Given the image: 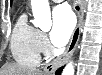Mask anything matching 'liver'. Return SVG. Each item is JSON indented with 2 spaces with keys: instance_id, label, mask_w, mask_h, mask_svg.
<instances>
[{
  "instance_id": "obj_1",
  "label": "liver",
  "mask_w": 102,
  "mask_h": 75,
  "mask_svg": "<svg viewBox=\"0 0 102 75\" xmlns=\"http://www.w3.org/2000/svg\"><path fill=\"white\" fill-rule=\"evenodd\" d=\"M0 75H44L41 70L25 68L15 63H6L0 68Z\"/></svg>"
}]
</instances>
